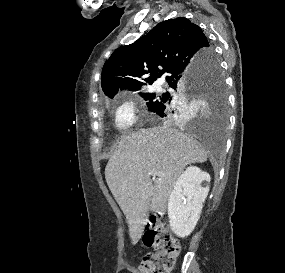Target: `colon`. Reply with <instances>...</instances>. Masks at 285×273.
<instances>
[{
	"instance_id": "1",
	"label": "colon",
	"mask_w": 285,
	"mask_h": 273,
	"mask_svg": "<svg viewBox=\"0 0 285 273\" xmlns=\"http://www.w3.org/2000/svg\"><path fill=\"white\" fill-rule=\"evenodd\" d=\"M143 243L154 251L144 256L140 272L169 273L180 253V244L163 220H152L151 227L143 235Z\"/></svg>"
}]
</instances>
